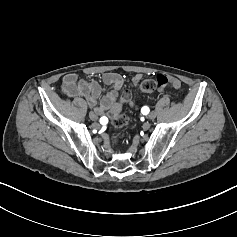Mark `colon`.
I'll return each mask as SVG.
<instances>
[{
    "mask_svg": "<svg viewBox=\"0 0 237 237\" xmlns=\"http://www.w3.org/2000/svg\"><path fill=\"white\" fill-rule=\"evenodd\" d=\"M170 83L173 87L178 88L180 82L177 79L171 78L165 74L159 73L156 75L155 80L145 79L139 84V90L142 93H151L156 85L165 86ZM124 101L121 100L110 112V119L113 126L121 128L129 124V119L126 115L122 113ZM118 143L117 138L112 139V144L116 145Z\"/></svg>",
    "mask_w": 237,
    "mask_h": 237,
    "instance_id": "obj_1",
    "label": "colon"
}]
</instances>
